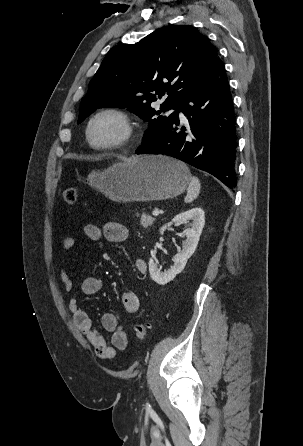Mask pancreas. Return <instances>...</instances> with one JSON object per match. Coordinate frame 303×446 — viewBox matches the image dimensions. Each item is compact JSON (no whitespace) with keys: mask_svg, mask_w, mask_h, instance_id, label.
<instances>
[{"mask_svg":"<svg viewBox=\"0 0 303 446\" xmlns=\"http://www.w3.org/2000/svg\"><path fill=\"white\" fill-rule=\"evenodd\" d=\"M154 220L155 219L153 217H151L149 214H142L141 218H140V224L144 228H148V227L152 226Z\"/></svg>","mask_w":303,"mask_h":446,"instance_id":"obj_1","label":"pancreas"}]
</instances>
